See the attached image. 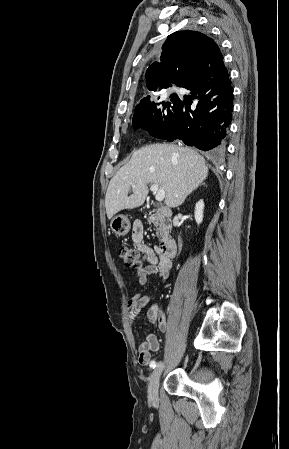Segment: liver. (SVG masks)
I'll return each instance as SVG.
<instances>
[{"instance_id":"obj_1","label":"liver","mask_w":289,"mask_h":449,"mask_svg":"<svg viewBox=\"0 0 289 449\" xmlns=\"http://www.w3.org/2000/svg\"><path fill=\"white\" fill-rule=\"evenodd\" d=\"M207 176L205 160L194 149L173 144L138 149L109 183L105 196L107 217L111 219L121 210L141 206L149 183L164 189L167 207H178ZM131 188L133 193L128 196Z\"/></svg>"}]
</instances>
